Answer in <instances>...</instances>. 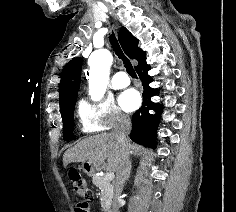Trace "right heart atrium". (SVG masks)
Instances as JSON below:
<instances>
[{
    "label": "right heart atrium",
    "mask_w": 236,
    "mask_h": 212,
    "mask_svg": "<svg viewBox=\"0 0 236 212\" xmlns=\"http://www.w3.org/2000/svg\"><path fill=\"white\" fill-rule=\"evenodd\" d=\"M78 116L84 133L111 130L129 120L112 98H104L98 102L81 101Z\"/></svg>",
    "instance_id": "1"
}]
</instances>
